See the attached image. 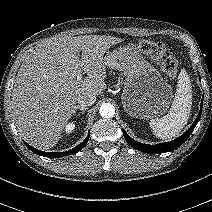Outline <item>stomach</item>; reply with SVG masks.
I'll use <instances>...</instances> for the list:
<instances>
[{"label": "stomach", "mask_w": 212, "mask_h": 212, "mask_svg": "<svg viewBox=\"0 0 212 212\" xmlns=\"http://www.w3.org/2000/svg\"><path fill=\"white\" fill-rule=\"evenodd\" d=\"M104 61L106 66L124 73L121 100L128 115L152 119L167 111L173 98L172 88L142 56L136 44L108 51Z\"/></svg>", "instance_id": "obj_1"}]
</instances>
